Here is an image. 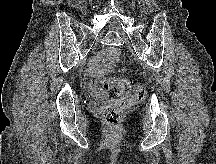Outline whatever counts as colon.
<instances>
[{"label":"colon","instance_id":"colon-1","mask_svg":"<svg viewBox=\"0 0 216 164\" xmlns=\"http://www.w3.org/2000/svg\"><path fill=\"white\" fill-rule=\"evenodd\" d=\"M103 85L112 96L117 97L107 103L102 113L106 123L111 127H116L122 120L123 112L140 101L145 90L131 78L109 77L104 79Z\"/></svg>","mask_w":216,"mask_h":164}]
</instances>
